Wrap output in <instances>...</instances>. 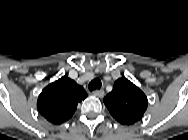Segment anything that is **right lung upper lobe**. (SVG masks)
Segmentation results:
<instances>
[{
    "label": "right lung upper lobe",
    "mask_w": 188,
    "mask_h": 140,
    "mask_svg": "<svg viewBox=\"0 0 188 140\" xmlns=\"http://www.w3.org/2000/svg\"><path fill=\"white\" fill-rule=\"evenodd\" d=\"M87 96L82 86L63 76L43 89L38 97L37 108L44 118L58 125L69 120L78 103Z\"/></svg>",
    "instance_id": "right-lung-upper-lobe-1"
}]
</instances>
